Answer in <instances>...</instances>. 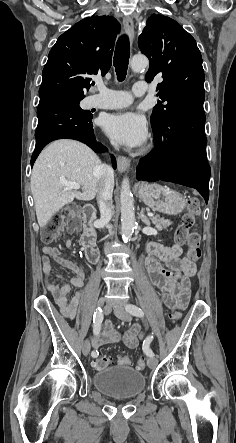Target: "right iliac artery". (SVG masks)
Wrapping results in <instances>:
<instances>
[{
	"instance_id": "1",
	"label": "right iliac artery",
	"mask_w": 236,
	"mask_h": 443,
	"mask_svg": "<svg viewBox=\"0 0 236 443\" xmlns=\"http://www.w3.org/2000/svg\"><path fill=\"white\" fill-rule=\"evenodd\" d=\"M102 321H103L102 309L98 307L93 316V332L95 335L99 333ZM91 355L92 357H97L99 353L97 351H93Z\"/></svg>"
}]
</instances>
